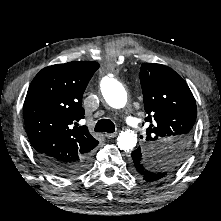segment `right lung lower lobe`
<instances>
[{"instance_id":"obj_1","label":"right lung lower lobe","mask_w":221,"mask_h":221,"mask_svg":"<svg viewBox=\"0 0 221 221\" xmlns=\"http://www.w3.org/2000/svg\"><path fill=\"white\" fill-rule=\"evenodd\" d=\"M41 162L55 175L71 177L85 172L91 165V155L77 162H61L45 156L38 155Z\"/></svg>"}]
</instances>
